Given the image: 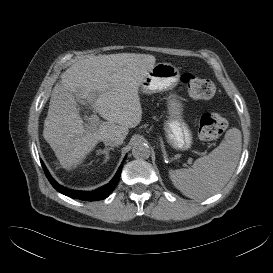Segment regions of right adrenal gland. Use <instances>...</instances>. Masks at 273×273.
<instances>
[{"instance_id": "1", "label": "right adrenal gland", "mask_w": 273, "mask_h": 273, "mask_svg": "<svg viewBox=\"0 0 273 273\" xmlns=\"http://www.w3.org/2000/svg\"><path fill=\"white\" fill-rule=\"evenodd\" d=\"M113 147H109V148H104L103 150H98L97 153L98 154H105V160L104 162H107V160L109 159V153L111 150H113Z\"/></svg>"}]
</instances>
